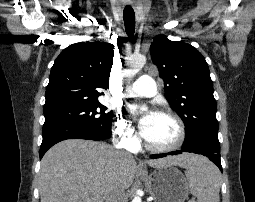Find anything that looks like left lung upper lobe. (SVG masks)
I'll use <instances>...</instances> for the list:
<instances>
[{
  "instance_id": "1",
  "label": "left lung upper lobe",
  "mask_w": 255,
  "mask_h": 202,
  "mask_svg": "<svg viewBox=\"0 0 255 202\" xmlns=\"http://www.w3.org/2000/svg\"><path fill=\"white\" fill-rule=\"evenodd\" d=\"M169 104L186 126L183 147L219 145L216 102L208 64L192 45L158 35L150 47Z\"/></svg>"
}]
</instances>
